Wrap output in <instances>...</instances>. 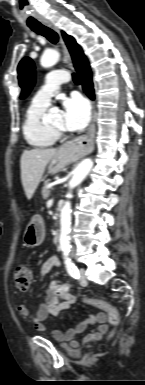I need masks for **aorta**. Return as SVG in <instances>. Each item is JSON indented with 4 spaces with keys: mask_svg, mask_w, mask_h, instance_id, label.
Returning a JSON list of instances; mask_svg holds the SVG:
<instances>
[{
    "mask_svg": "<svg viewBox=\"0 0 145 385\" xmlns=\"http://www.w3.org/2000/svg\"><path fill=\"white\" fill-rule=\"evenodd\" d=\"M59 60V53L56 50H47L41 57V65L45 68L55 65ZM93 167V161L90 158L82 160L76 167L74 174L69 181L70 192L67 198H72L71 190L79 185L88 175ZM60 249L67 252L70 249V227H71V203L66 201L60 213Z\"/></svg>",
    "mask_w": 145,
    "mask_h": 385,
    "instance_id": "1",
    "label": "aorta"
}]
</instances>
